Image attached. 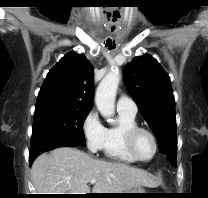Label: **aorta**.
Instances as JSON below:
<instances>
[{
    "label": "aorta",
    "mask_w": 208,
    "mask_h": 198,
    "mask_svg": "<svg viewBox=\"0 0 208 198\" xmlns=\"http://www.w3.org/2000/svg\"><path fill=\"white\" fill-rule=\"evenodd\" d=\"M120 81V75L117 71L109 72L99 83L96 94L95 103L100 114L113 123L112 119L115 113V97Z\"/></svg>",
    "instance_id": "obj_1"
}]
</instances>
